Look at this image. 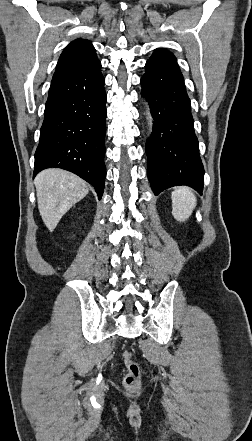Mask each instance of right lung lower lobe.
I'll list each match as a JSON object with an SVG mask.
<instances>
[{
  "label": "right lung lower lobe",
  "mask_w": 252,
  "mask_h": 441,
  "mask_svg": "<svg viewBox=\"0 0 252 441\" xmlns=\"http://www.w3.org/2000/svg\"><path fill=\"white\" fill-rule=\"evenodd\" d=\"M104 84L100 62L51 82L34 177L46 168H62L91 183L101 198L106 176Z\"/></svg>",
  "instance_id": "obj_1"
}]
</instances>
